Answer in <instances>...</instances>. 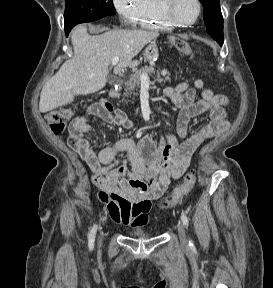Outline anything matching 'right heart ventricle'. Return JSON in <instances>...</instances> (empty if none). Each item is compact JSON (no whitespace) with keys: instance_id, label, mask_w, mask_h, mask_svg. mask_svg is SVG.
Masks as SVG:
<instances>
[{"instance_id":"e07e8e85","label":"right heart ventricle","mask_w":273,"mask_h":288,"mask_svg":"<svg viewBox=\"0 0 273 288\" xmlns=\"http://www.w3.org/2000/svg\"><path fill=\"white\" fill-rule=\"evenodd\" d=\"M134 24L155 30H168L174 26L165 18L161 0H141Z\"/></svg>"}]
</instances>
